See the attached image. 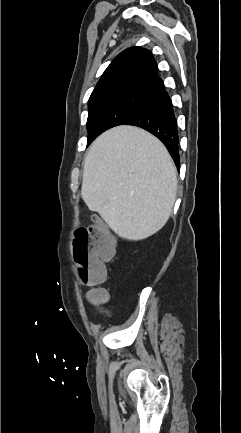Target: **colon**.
I'll return each instance as SVG.
<instances>
[{"instance_id": "1", "label": "colon", "mask_w": 241, "mask_h": 433, "mask_svg": "<svg viewBox=\"0 0 241 433\" xmlns=\"http://www.w3.org/2000/svg\"><path fill=\"white\" fill-rule=\"evenodd\" d=\"M81 209L82 206H76ZM76 215H82L81 212ZM114 252V241L103 226L96 227L92 236L91 228H80L76 231L74 242V272H81L85 284L97 285L106 278L104 263ZM107 293L101 288L92 290L89 297L93 301L106 298Z\"/></svg>"}]
</instances>
